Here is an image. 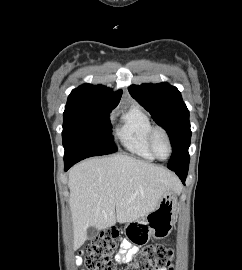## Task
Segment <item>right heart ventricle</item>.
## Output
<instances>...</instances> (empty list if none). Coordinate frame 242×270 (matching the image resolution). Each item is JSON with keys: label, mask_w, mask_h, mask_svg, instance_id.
Wrapping results in <instances>:
<instances>
[{"label": "right heart ventricle", "mask_w": 242, "mask_h": 270, "mask_svg": "<svg viewBox=\"0 0 242 270\" xmlns=\"http://www.w3.org/2000/svg\"><path fill=\"white\" fill-rule=\"evenodd\" d=\"M153 128L148 114L140 107L133 106L123 115L116 134L127 151L143 159L154 160L148 146V137Z\"/></svg>", "instance_id": "obj_1"}]
</instances>
